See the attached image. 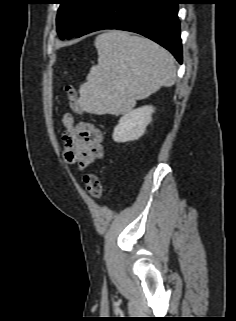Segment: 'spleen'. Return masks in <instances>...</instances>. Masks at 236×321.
Listing matches in <instances>:
<instances>
[{"instance_id":"3e777b00","label":"spleen","mask_w":236,"mask_h":321,"mask_svg":"<svg viewBox=\"0 0 236 321\" xmlns=\"http://www.w3.org/2000/svg\"><path fill=\"white\" fill-rule=\"evenodd\" d=\"M98 64L79 89V106L94 114L119 115L136 100L170 87L176 81L174 57L156 43L122 31L96 37Z\"/></svg>"}]
</instances>
